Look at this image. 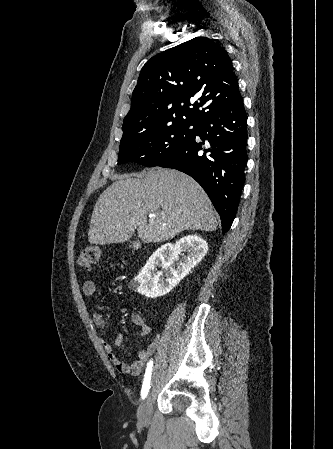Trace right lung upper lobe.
Returning <instances> with one entry per match:
<instances>
[{"label": "right lung upper lobe", "instance_id": "right-lung-upper-lobe-1", "mask_svg": "<svg viewBox=\"0 0 333 449\" xmlns=\"http://www.w3.org/2000/svg\"><path fill=\"white\" fill-rule=\"evenodd\" d=\"M239 95L225 49L212 39L196 37L144 65L123 122L121 141L175 120L199 123Z\"/></svg>", "mask_w": 333, "mask_h": 449}]
</instances>
